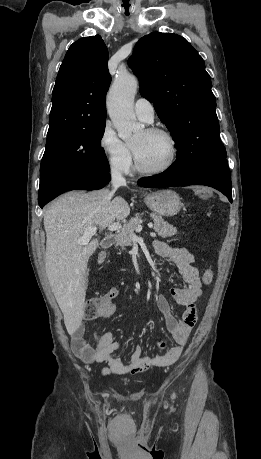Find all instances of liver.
<instances>
[{"instance_id":"6515ba94","label":"liver","mask_w":261,"mask_h":459,"mask_svg":"<svg viewBox=\"0 0 261 459\" xmlns=\"http://www.w3.org/2000/svg\"><path fill=\"white\" fill-rule=\"evenodd\" d=\"M113 195L108 189L69 192L44 213L46 274L70 335L79 328L84 317V276L88 260L99 245L98 239L86 245L78 244L77 240L89 227L99 226L103 231L130 213L128 203L122 197L112 199Z\"/></svg>"}]
</instances>
